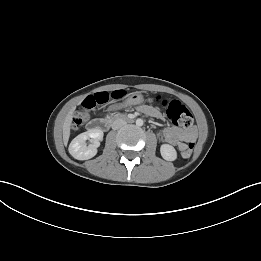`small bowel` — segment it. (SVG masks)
I'll list each match as a JSON object with an SVG mask.
<instances>
[{
  "mask_svg": "<svg viewBox=\"0 0 261 261\" xmlns=\"http://www.w3.org/2000/svg\"><path fill=\"white\" fill-rule=\"evenodd\" d=\"M139 111L157 119L163 118L162 112L158 108L152 106H141ZM159 137L161 141L177 146L182 150L188 142H191L196 138V131L194 129L185 130L177 126H172L162 129L159 133Z\"/></svg>",
  "mask_w": 261,
  "mask_h": 261,
  "instance_id": "small-bowel-1",
  "label": "small bowel"
}]
</instances>
